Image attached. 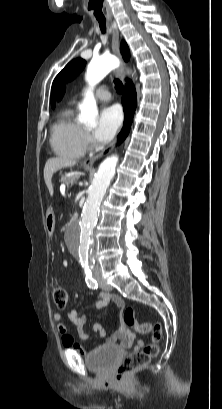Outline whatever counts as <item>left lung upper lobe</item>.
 <instances>
[{"label":"left lung upper lobe","mask_w":222,"mask_h":409,"mask_svg":"<svg viewBox=\"0 0 222 409\" xmlns=\"http://www.w3.org/2000/svg\"><path fill=\"white\" fill-rule=\"evenodd\" d=\"M86 62L81 58H77L69 62L65 68L56 76L52 84L51 90V105L55 106V93L58 86L62 82L70 81L75 78L84 68Z\"/></svg>","instance_id":"obj_1"}]
</instances>
